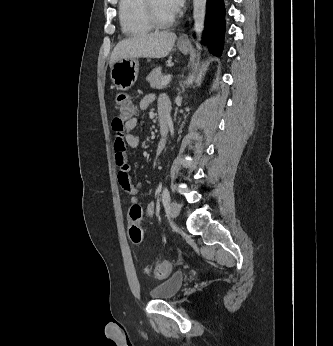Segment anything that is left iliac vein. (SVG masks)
<instances>
[{"mask_svg": "<svg viewBox=\"0 0 333 346\" xmlns=\"http://www.w3.org/2000/svg\"><path fill=\"white\" fill-rule=\"evenodd\" d=\"M180 210H181V208L176 201H172L170 203L168 212H169V215L171 218H173V219L177 218L179 213H180Z\"/></svg>", "mask_w": 333, "mask_h": 346, "instance_id": "1", "label": "left iliac vein"}]
</instances>
